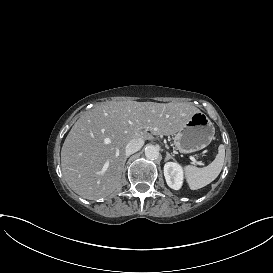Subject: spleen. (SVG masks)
<instances>
[{
	"instance_id": "obj_1",
	"label": "spleen",
	"mask_w": 273,
	"mask_h": 273,
	"mask_svg": "<svg viewBox=\"0 0 273 273\" xmlns=\"http://www.w3.org/2000/svg\"><path fill=\"white\" fill-rule=\"evenodd\" d=\"M225 158L224 145H220L216 159L204 168L189 166L188 180L192 190H197L214 181L221 172Z\"/></svg>"
}]
</instances>
